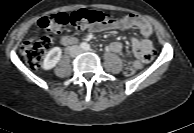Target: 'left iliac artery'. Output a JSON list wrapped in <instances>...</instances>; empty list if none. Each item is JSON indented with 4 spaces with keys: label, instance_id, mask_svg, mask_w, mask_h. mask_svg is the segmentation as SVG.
Returning a JSON list of instances; mask_svg holds the SVG:
<instances>
[{
    "label": "left iliac artery",
    "instance_id": "obj_1",
    "mask_svg": "<svg viewBox=\"0 0 194 133\" xmlns=\"http://www.w3.org/2000/svg\"><path fill=\"white\" fill-rule=\"evenodd\" d=\"M86 50H90V46L88 45V47L86 48Z\"/></svg>",
    "mask_w": 194,
    "mask_h": 133
}]
</instances>
